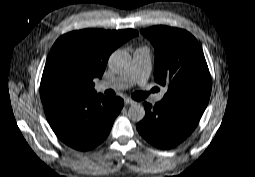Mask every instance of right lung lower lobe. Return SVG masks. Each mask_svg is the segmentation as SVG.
Masks as SVG:
<instances>
[{
    "instance_id": "98d812e1",
    "label": "right lung lower lobe",
    "mask_w": 255,
    "mask_h": 177,
    "mask_svg": "<svg viewBox=\"0 0 255 177\" xmlns=\"http://www.w3.org/2000/svg\"><path fill=\"white\" fill-rule=\"evenodd\" d=\"M43 104L58 138L74 149L86 151L106 139L124 102L119 97L108 99L93 92Z\"/></svg>"
}]
</instances>
